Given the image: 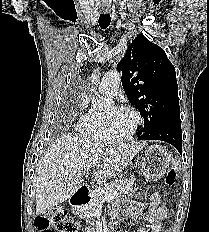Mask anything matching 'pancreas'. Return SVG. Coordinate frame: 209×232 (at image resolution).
Listing matches in <instances>:
<instances>
[{
    "label": "pancreas",
    "mask_w": 209,
    "mask_h": 232,
    "mask_svg": "<svg viewBox=\"0 0 209 232\" xmlns=\"http://www.w3.org/2000/svg\"><path fill=\"white\" fill-rule=\"evenodd\" d=\"M135 178L131 177L129 179H119L117 181L111 182L103 187H100L98 190L94 191L92 194V200L89 204L82 207L81 212L83 213L80 217L86 218L87 222L91 225L95 224L93 220V214L95 208L102 203V196L106 193L118 192L120 195L127 194L134 184Z\"/></svg>",
    "instance_id": "pancreas-1"
}]
</instances>
